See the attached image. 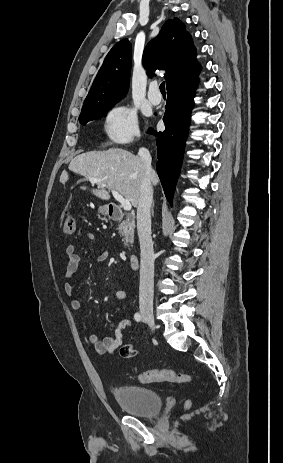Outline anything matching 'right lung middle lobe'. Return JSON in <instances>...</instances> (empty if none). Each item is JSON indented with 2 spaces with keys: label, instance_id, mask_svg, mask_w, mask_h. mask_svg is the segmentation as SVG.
Listing matches in <instances>:
<instances>
[{
  "label": "right lung middle lobe",
  "instance_id": "obj_1",
  "mask_svg": "<svg viewBox=\"0 0 283 463\" xmlns=\"http://www.w3.org/2000/svg\"><path fill=\"white\" fill-rule=\"evenodd\" d=\"M120 98L108 99L94 104L84 105L79 116V121L85 125L91 120L100 119L105 116V113L111 109Z\"/></svg>",
  "mask_w": 283,
  "mask_h": 463
}]
</instances>
